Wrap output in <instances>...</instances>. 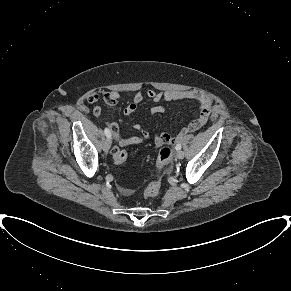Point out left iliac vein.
I'll list each match as a JSON object with an SVG mask.
<instances>
[{
  "label": "left iliac vein",
  "instance_id": "left-iliac-vein-1",
  "mask_svg": "<svg viewBox=\"0 0 291 291\" xmlns=\"http://www.w3.org/2000/svg\"><path fill=\"white\" fill-rule=\"evenodd\" d=\"M176 157H177L178 159H183V158H184V152L178 150L177 153H176Z\"/></svg>",
  "mask_w": 291,
  "mask_h": 291
}]
</instances>
